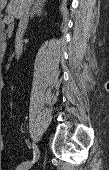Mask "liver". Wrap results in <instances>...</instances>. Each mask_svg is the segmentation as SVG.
<instances>
[{"label": "liver", "instance_id": "1", "mask_svg": "<svg viewBox=\"0 0 109 170\" xmlns=\"http://www.w3.org/2000/svg\"><path fill=\"white\" fill-rule=\"evenodd\" d=\"M22 1L23 0H10V3L7 6V12L13 14L15 18H20L21 10H22ZM44 2L45 0H35ZM7 4V0H1V7L4 8Z\"/></svg>", "mask_w": 109, "mask_h": 170}]
</instances>
